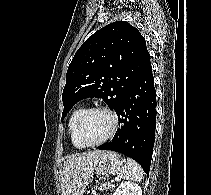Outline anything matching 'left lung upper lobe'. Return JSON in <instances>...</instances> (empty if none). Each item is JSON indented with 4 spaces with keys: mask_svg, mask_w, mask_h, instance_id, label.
I'll list each match as a JSON object with an SVG mask.
<instances>
[{
    "mask_svg": "<svg viewBox=\"0 0 211 195\" xmlns=\"http://www.w3.org/2000/svg\"><path fill=\"white\" fill-rule=\"evenodd\" d=\"M150 63L144 37L125 21L106 25L75 53L62 94V120L81 99L101 98L115 111Z\"/></svg>",
    "mask_w": 211,
    "mask_h": 195,
    "instance_id": "5c2ea615",
    "label": "left lung upper lobe"
}]
</instances>
